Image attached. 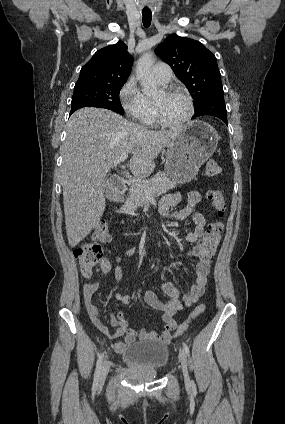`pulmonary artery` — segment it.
Returning <instances> with one entry per match:
<instances>
[{"label": "pulmonary artery", "mask_w": 285, "mask_h": 424, "mask_svg": "<svg viewBox=\"0 0 285 424\" xmlns=\"http://www.w3.org/2000/svg\"><path fill=\"white\" fill-rule=\"evenodd\" d=\"M153 75L159 83L166 84L172 78V70L165 63H157L153 67Z\"/></svg>", "instance_id": "pulmonary-artery-1"}]
</instances>
